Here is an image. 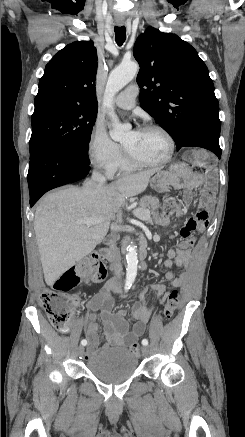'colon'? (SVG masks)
Segmentation results:
<instances>
[{"label":"colon","mask_w":245,"mask_h":437,"mask_svg":"<svg viewBox=\"0 0 245 437\" xmlns=\"http://www.w3.org/2000/svg\"><path fill=\"white\" fill-rule=\"evenodd\" d=\"M175 207V199L168 198L164 205L165 214H171ZM106 275V267L99 256L92 255L65 271L54 282L52 289L42 293V306L57 330L65 332L71 325L75 306L74 290L83 284L100 283L106 278ZM178 303L179 294L176 290H173L168 294L164 306L163 314L165 319H170L174 315ZM130 349L137 356L141 353V347L136 342L131 345Z\"/></svg>","instance_id":"5ec220e1"}]
</instances>
